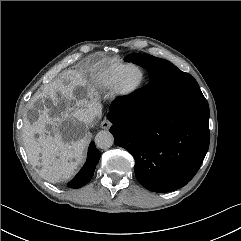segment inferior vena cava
I'll return each instance as SVG.
<instances>
[{
  "instance_id": "obj_1",
  "label": "inferior vena cava",
  "mask_w": 241,
  "mask_h": 241,
  "mask_svg": "<svg viewBox=\"0 0 241 241\" xmlns=\"http://www.w3.org/2000/svg\"><path fill=\"white\" fill-rule=\"evenodd\" d=\"M101 115V105L99 103H93L88 108L83 109L82 120L86 124H90L93 120Z\"/></svg>"
}]
</instances>
